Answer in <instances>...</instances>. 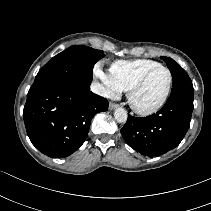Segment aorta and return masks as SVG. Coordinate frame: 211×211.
I'll list each match as a JSON object with an SVG mask.
<instances>
[{
    "label": "aorta",
    "mask_w": 211,
    "mask_h": 211,
    "mask_svg": "<svg viewBox=\"0 0 211 211\" xmlns=\"http://www.w3.org/2000/svg\"><path fill=\"white\" fill-rule=\"evenodd\" d=\"M114 117L117 122L125 123L127 121V111L124 108H117L114 112Z\"/></svg>",
    "instance_id": "1"
}]
</instances>
